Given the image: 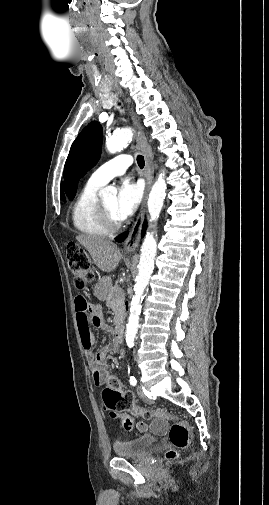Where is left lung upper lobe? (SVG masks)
I'll return each instance as SVG.
<instances>
[{
  "instance_id": "left-lung-upper-lobe-1",
  "label": "left lung upper lobe",
  "mask_w": 269,
  "mask_h": 505,
  "mask_svg": "<svg viewBox=\"0 0 269 505\" xmlns=\"http://www.w3.org/2000/svg\"><path fill=\"white\" fill-rule=\"evenodd\" d=\"M102 127L99 122L89 123L73 142L65 163V190L73 199L80 177L98 161L102 145Z\"/></svg>"
}]
</instances>
